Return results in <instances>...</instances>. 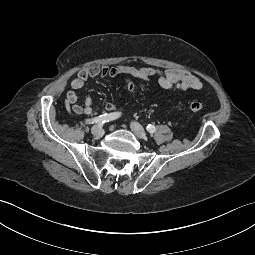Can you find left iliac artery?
<instances>
[{
  "mask_svg": "<svg viewBox=\"0 0 255 255\" xmlns=\"http://www.w3.org/2000/svg\"><path fill=\"white\" fill-rule=\"evenodd\" d=\"M146 130H147L149 133H154V132L156 131V128H155L154 125L149 124V125H147Z\"/></svg>",
  "mask_w": 255,
  "mask_h": 255,
  "instance_id": "44dca946",
  "label": "left iliac artery"
}]
</instances>
